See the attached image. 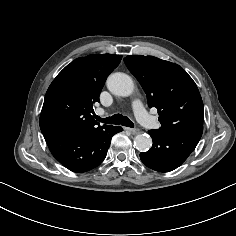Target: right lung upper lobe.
<instances>
[{"instance_id": "right-lung-upper-lobe-1", "label": "right lung upper lobe", "mask_w": 236, "mask_h": 236, "mask_svg": "<svg viewBox=\"0 0 236 236\" xmlns=\"http://www.w3.org/2000/svg\"><path fill=\"white\" fill-rule=\"evenodd\" d=\"M121 55L93 54L67 65L49 86L40 115L42 133L91 130L100 127L91 112L107 76Z\"/></svg>"}]
</instances>
